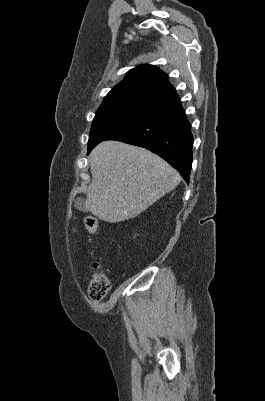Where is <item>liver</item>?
Masks as SVG:
<instances>
[{"instance_id": "obj_1", "label": "liver", "mask_w": 265, "mask_h": 401, "mask_svg": "<svg viewBox=\"0 0 265 401\" xmlns=\"http://www.w3.org/2000/svg\"><path fill=\"white\" fill-rule=\"evenodd\" d=\"M89 164L92 182L86 207L107 223L137 217L181 180L179 172L157 154L117 140L95 146Z\"/></svg>"}]
</instances>
